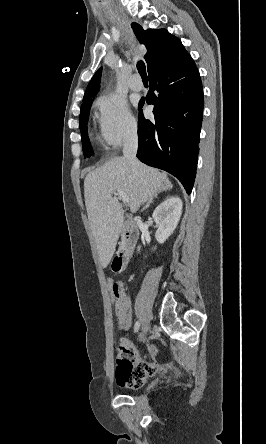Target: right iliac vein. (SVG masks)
<instances>
[{"label": "right iliac vein", "instance_id": "63e3f726", "mask_svg": "<svg viewBox=\"0 0 266 444\" xmlns=\"http://www.w3.org/2000/svg\"><path fill=\"white\" fill-rule=\"evenodd\" d=\"M149 328H150L149 323L147 321H144L142 324V329H141L143 336L147 334V332L149 331Z\"/></svg>", "mask_w": 266, "mask_h": 444}]
</instances>
